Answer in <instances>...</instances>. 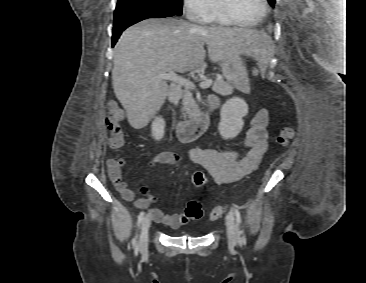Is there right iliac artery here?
<instances>
[{"label": "right iliac artery", "instance_id": "obj_1", "mask_svg": "<svg viewBox=\"0 0 366 283\" xmlns=\"http://www.w3.org/2000/svg\"><path fill=\"white\" fill-rule=\"evenodd\" d=\"M144 219V212H140L139 216H138V227L140 226V224L142 223ZM137 240H138V235L135 236V238L133 239L132 241V244H133V247L135 248V250L138 249V243H137Z\"/></svg>", "mask_w": 366, "mask_h": 283}]
</instances>
